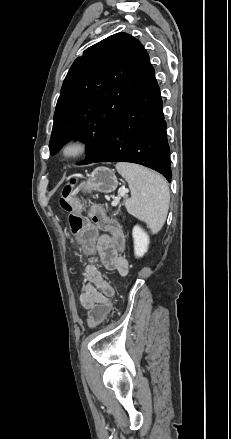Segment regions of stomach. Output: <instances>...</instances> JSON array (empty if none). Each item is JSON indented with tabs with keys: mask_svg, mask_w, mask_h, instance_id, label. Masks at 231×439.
<instances>
[{
	"mask_svg": "<svg viewBox=\"0 0 231 439\" xmlns=\"http://www.w3.org/2000/svg\"><path fill=\"white\" fill-rule=\"evenodd\" d=\"M117 186L118 181L115 174L108 168L99 167L87 176L86 181L79 184V189L109 194L115 191Z\"/></svg>",
	"mask_w": 231,
	"mask_h": 439,
	"instance_id": "obj_1",
	"label": "stomach"
}]
</instances>
